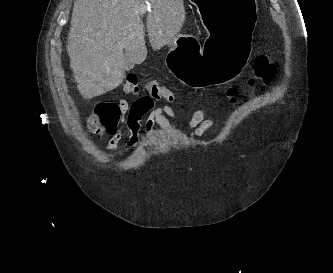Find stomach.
Instances as JSON below:
<instances>
[{"mask_svg":"<svg viewBox=\"0 0 333 273\" xmlns=\"http://www.w3.org/2000/svg\"><path fill=\"white\" fill-rule=\"evenodd\" d=\"M197 8L205 28V44L197 53V41L189 34H179L169 47L168 65L185 85L205 89L219 81H235L249 65L251 39L255 23L256 0H190Z\"/></svg>","mask_w":333,"mask_h":273,"instance_id":"stomach-1","label":"stomach"}]
</instances>
